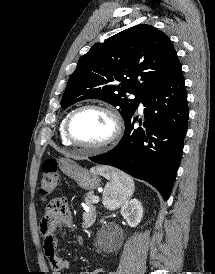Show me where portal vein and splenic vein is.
I'll return each instance as SVG.
<instances>
[{
  "instance_id": "portal-vein-and-splenic-vein-1",
  "label": "portal vein and splenic vein",
  "mask_w": 215,
  "mask_h": 274,
  "mask_svg": "<svg viewBox=\"0 0 215 274\" xmlns=\"http://www.w3.org/2000/svg\"><path fill=\"white\" fill-rule=\"evenodd\" d=\"M93 202L98 203L99 202V197L98 196H94L93 197Z\"/></svg>"
}]
</instances>
